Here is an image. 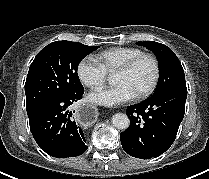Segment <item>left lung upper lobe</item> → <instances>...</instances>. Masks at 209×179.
<instances>
[{"label":"left lung upper lobe","instance_id":"5c2ea615","mask_svg":"<svg viewBox=\"0 0 209 179\" xmlns=\"http://www.w3.org/2000/svg\"><path fill=\"white\" fill-rule=\"evenodd\" d=\"M138 45L151 50L159 61L160 78L158 86L149 99H154L176 89H186L183 68L179 59L170 48L154 41H140Z\"/></svg>","mask_w":209,"mask_h":179}]
</instances>
